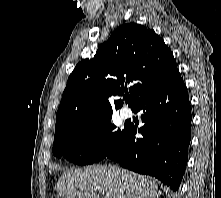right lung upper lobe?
Wrapping results in <instances>:
<instances>
[{
	"label": "right lung upper lobe",
	"instance_id": "cb5924a9",
	"mask_svg": "<svg viewBox=\"0 0 221 198\" xmlns=\"http://www.w3.org/2000/svg\"><path fill=\"white\" fill-rule=\"evenodd\" d=\"M171 50L154 30L123 24L98 48L92 59L79 62L68 78L57 111L55 137L112 114L109 99L129 88L134 109L150 92L177 72ZM116 109L121 100L114 101ZM97 111V114H95Z\"/></svg>",
	"mask_w": 221,
	"mask_h": 198
}]
</instances>
